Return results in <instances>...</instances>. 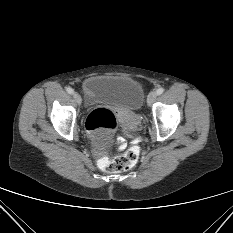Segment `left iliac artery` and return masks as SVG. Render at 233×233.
Here are the masks:
<instances>
[{
    "instance_id": "44dca946",
    "label": "left iliac artery",
    "mask_w": 233,
    "mask_h": 233,
    "mask_svg": "<svg viewBox=\"0 0 233 233\" xmlns=\"http://www.w3.org/2000/svg\"><path fill=\"white\" fill-rule=\"evenodd\" d=\"M157 95H161L164 92V89L161 87L159 89H157Z\"/></svg>"
}]
</instances>
